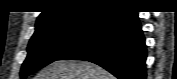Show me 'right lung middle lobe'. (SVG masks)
<instances>
[{
    "label": "right lung middle lobe",
    "instance_id": "right-lung-middle-lobe-1",
    "mask_svg": "<svg viewBox=\"0 0 177 79\" xmlns=\"http://www.w3.org/2000/svg\"><path fill=\"white\" fill-rule=\"evenodd\" d=\"M101 14L56 21L36 28L28 45V56L21 69V78L58 60L79 44L98 24Z\"/></svg>",
    "mask_w": 177,
    "mask_h": 79
}]
</instances>
